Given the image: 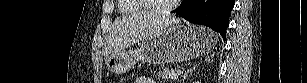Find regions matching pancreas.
Listing matches in <instances>:
<instances>
[{
    "mask_svg": "<svg viewBox=\"0 0 307 83\" xmlns=\"http://www.w3.org/2000/svg\"><path fill=\"white\" fill-rule=\"evenodd\" d=\"M174 73L173 70H169L168 68H165L163 70H159L157 73L158 78L168 80L170 79L171 74Z\"/></svg>",
    "mask_w": 307,
    "mask_h": 83,
    "instance_id": "1",
    "label": "pancreas"
}]
</instances>
